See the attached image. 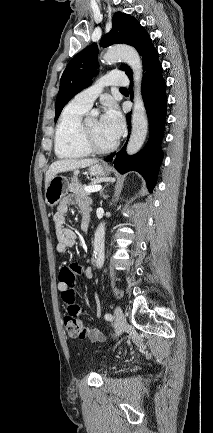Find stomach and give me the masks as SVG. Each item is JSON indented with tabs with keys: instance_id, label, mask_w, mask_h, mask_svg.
<instances>
[{
	"instance_id": "stomach-1",
	"label": "stomach",
	"mask_w": 213,
	"mask_h": 433,
	"mask_svg": "<svg viewBox=\"0 0 213 433\" xmlns=\"http://www.w3.org/2000/svg\"><path fill=\"white\" fill-rule=\"evenodd\" d=\"M91 176L102 177L108 176L111 168L108 165L95 163L88 169ZM69 180L65 176L53 177L48 186L45 188V201L49 206L58 204L61 199L68 193Z\"/></svg>"
}]
</instances>
